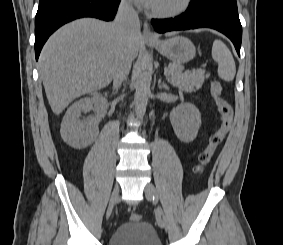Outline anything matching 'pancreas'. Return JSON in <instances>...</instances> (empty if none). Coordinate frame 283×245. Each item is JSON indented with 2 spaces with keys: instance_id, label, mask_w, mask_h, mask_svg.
Segmentation results:
<instances>
[{
  "instance_id": "cf45deb5",
  "label": "pancreas",
  "mask_w": 283,
  "mask_h": 245,
  "mask_svg": "<svg viewBox=\"0 0 283 245\" xmlns=\"http://www.w3.org/2000/svg\"><path fill=\"white\" fill-rule=\"evenodd\" d=\"M184 67L180 64L171 63L166 68V76L173 86L182 91H195L202 87L209 77L203 69L182 72Z\"/></svg>"
}]
</instances>
